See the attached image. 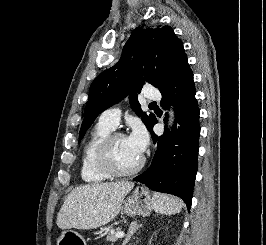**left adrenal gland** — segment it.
<instances>
[{
    "mask_svg": "<svg viewBox=\"0 0 266 245\" xmlns=\"http://www.w3.org/2000/svg\"><path fill=\"white\" fill-rule=\"evenodd\" d=\"M139 227H142V225H137V221H133V223H131V225L128 229V235H127L125 241H123V245H127V243H129L131 237H133L134 233H136V231H138Z\"/></svg>",
    "mask_w": 266,
    "mask_h": 245,
    "instance_id": "1",
    "label": "left adrenal gland"
}]
</instances>
